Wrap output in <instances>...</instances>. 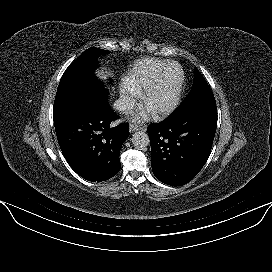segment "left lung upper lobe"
<instances>
[{
  "label": "left lung upper lobe",
  "mask_w": 272,
  "mask_h": 272,
  "mask_svg": "<svg viewBox=\"0 0 272 272\" xmlns=\"http://www.w3.org/2000/svg\"><path fill=\"white\" fill-rule=\"evenodd\" d=\"M208 103H215L214 95L203 75L197 68H194V81L192 89L176 110L201 106Z\"/></svg>",
  "instance_id": "5c2ea615"
}]
</instances>
